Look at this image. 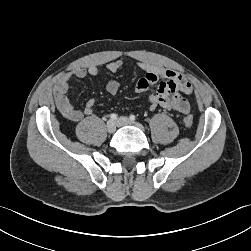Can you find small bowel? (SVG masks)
Segmentation results:
<instances>
[{
  "label": "small bowel",
  "instance_id": "1",
  "mask_svg": "<svg viewBox=\"0 0 251 251\" xmlns=\"http://www.w3.org/2000/svg\"><path fill=\"white\" fill-rule=\"evenodd\" d=\"M122 67L123 62L120 60L112 61L107 65V69L113 73ZM138 67L144 72V76L137 81L135 90L137 93H148L151 110L161 107L180 114L189 112V103L182 94H191L193 86L183 74L149 62H139ZM98 73V67L92 65L88 68H77L72 73L65 74L58 79L54 86V98L58 111L64 118L78 122L93 113L95 100L88 99L84 108L78 109L71 102L69 88L73 76L82 79L86 76L95 77ZM155 86L156 89L151 91ZM106 90L109 94H116L119 90V83L116 80H110L106 84Z\"/></svg>",
  "mask_w": 251,
  "mask_h": 251
}]
</instances>
